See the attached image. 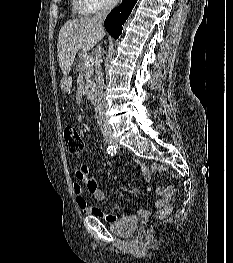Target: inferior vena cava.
<instances>
[{"label":"inferior vena cava","mask_w":233,"mask_h":263,"mask_svg":"<svg viewBox=\"0 0 233 263\" xmlns=\"http://www.w3.org/2000/svg\"><path fill=\"white\" fill-rule=\"evenodd\" d=\"M118 0H106L105 4L101 8V10L95 14L92 18L93 22L96 24L98 29L102 34H105L103 28V22L110 11L117 5ZM101 54V46H98L96 51L97 58L100 57ZM106 104H105V96H104V78L103 73L101 71L100 65L97 69V78L95 84V116L97 118V122L103 131H111V127L107 122V118L105 115Z\"/></svg>","instance_id":"602c4592"}]
</instances>
